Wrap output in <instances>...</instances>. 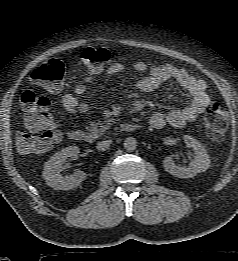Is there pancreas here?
I'll return each instance as SVG.
<instances>
[{
	"instance_id": "pancreas-1",
	"label": "pancreas",
	"mask_w": 238,
	"mask_h": 261,
	"mask_svg": "<svg viewBox=\"0 0 238 261\" xmlns=\"http://www.w3.org/2000/svg\"><path fill=\"white\" fill-rule=\"evenodd\" d=\"M111 122V119H107L104 123H101L100 121L90 122V126L87 127V130L95 135H101L111 127Z\"/></svg>"
}]
</instances>
